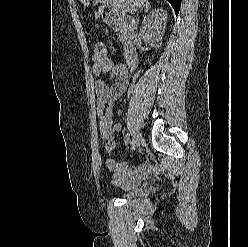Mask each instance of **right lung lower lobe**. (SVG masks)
I'll use <instances>...</instances> for the list:
<instances>
[{"instance_id":"1","label":"right lung lower lobe","mask_w":248,"mask_h":247,"mask_svg":"<svg viewBox=\"0 0 248 247\" xmlns=\"http://www.w3.org/2000/svg\"><path fill=\"white\" fill-rule=\"evenodd\" d=\"M169 3L172 5L176 15H178L181 5V0H168Z\"/></svg>"}]
</instances>
